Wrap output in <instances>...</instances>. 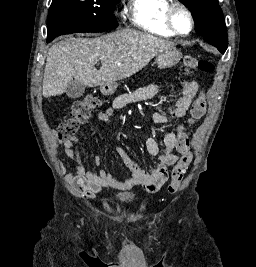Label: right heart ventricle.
Returning a JSON list of instances; mask_svg holds the SVG:
<instances>
[{"instance_id": "1", "label": "right heart ventricle", "mask_w": 256, "mask_h": 267, "mask_svg": "<svg viewBox=\"0 0 256 267\" xmlns=\"http://www.w3.org/2000/svg\"><path fill=\"white\" fill-rule=\"evenodd\" d=\"M164 0H138L136 7L145 12L141 20H136L138 28H143L146 36H177L166 20L168 7L162 5Z\"/></svg>"}]
</instances>
